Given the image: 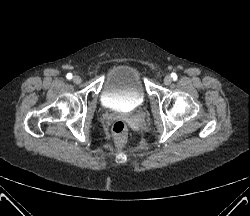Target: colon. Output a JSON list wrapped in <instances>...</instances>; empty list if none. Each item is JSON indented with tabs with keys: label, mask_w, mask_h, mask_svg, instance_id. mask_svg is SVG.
Here are the masks:
<instances>
[{
	"label": "colon",
	"mask_w": 250,
	"mask_h": 216,
	"mask_svg": "<svg viewBox=\"0 0 250 216\" xmlns=\"http://www.w3.org/2000/svg\"><path fill=\"white\" fill-rule=\"evenodd\" d=\"M112 134L119 147H123L127 142L128 128L124 121L117 120L112 125Z\"/></svg>",
	"instance_id": "obj_1"
}]
</instances>
